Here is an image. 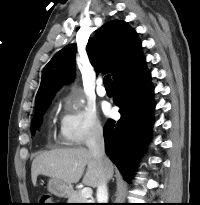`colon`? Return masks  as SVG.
Masks as SVG:
<instances>
[{"label":"colon","instance_id":"obj_1","mask_svg":"<svg viewBox=\"0 0 200 205\" xmlns=\"http://www.w3.org/2000/svg\"><path fill=\"white\" fill-rule=\"evenodd\" d=\"M38 205H53V198L50 194H42L39 197Z\"/></svg>","mask_w":200,"mask_h":205}]
</instances>
